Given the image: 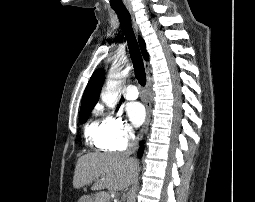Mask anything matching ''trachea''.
<instances>
[{"mask_svg":"<svg viewBox=\"0 0 255 202\" xmlns=\"http://www.w3.org/2000/svg\"><path fill=\"white\" fill-rule=\"evenodd\" d=\"M114 11L118 15L121 28L128 42L129 53L132 59L135 77L139 84L144 86L146 84V73L140 49L132 29L131 16L126 8L114 9Z\"/></svg>","mask_w":255,"mask_h":202,"instance_id":"3493384b","label":"trachea"}]
</instances>
